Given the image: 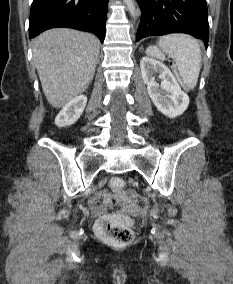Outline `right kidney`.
Listing matches in <instances>:
<instances>
[{
	"mask_svg": "<svg viewBox=\"0 0 233 284\" xmlns=\"http://www.w3.org/2000/svg\"><path fill=\"white\" fill-rule=\"evenodd\" d=\"M87 103L85 95L76 96L67 103L55 118L58 127H66L74 124L81 116Z\"/></svg>",
	"mask_w": 233,
	"mask_h": 284,
	"instance_id": "ca27d5eb",
	"label": "right kidney"
}]
</instances>
